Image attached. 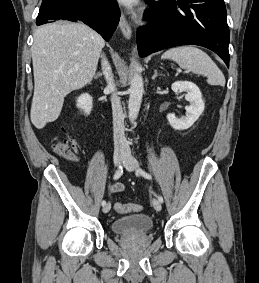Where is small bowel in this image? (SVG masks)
<instances>
[{
    "mask_svg": "<svg viewBox=\"0 0 259 283\" xmlns=\"http://www.w3.org/2000/svg\"><path fill=\"white\" fill-rule=\"evenodd\" d=\"M108 189L110 192H114V193L121 192L124 190V185L122 183H116V184L110 185Z\"/></svg>",
    "mask_w": 259,
    "mask_h": 283,
    "instance_id": "c3829d8e",
    "label": "small bowel"
}]
</instances>
